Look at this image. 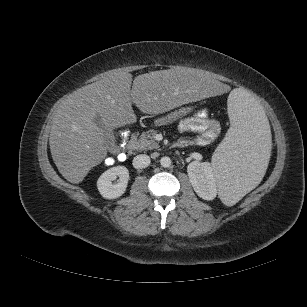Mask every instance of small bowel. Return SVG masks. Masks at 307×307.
Returning <instances> with one entry per match:
<instances>
[{
  "label": "small bowel",
  "instance_id": "small-bowel-1",
  "mask_svg": "<svg viewBox=\"0 0 307 307\" xmlns=\"http://www.w3.org/2000/svg\"><path fill=\"white\" fill-rule=\"evenodd\" d=\"M181 132L198 133L194 140L181 139L188 144L207 145L218 136L220 124L217 120L211 119L206 110H200L191 117L185 118L178 123Z\"/></svg>",
  "mask_w": 307,
  "mask_h": 307
}]
</instances>
